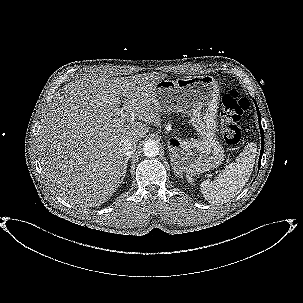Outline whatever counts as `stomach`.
<instances>
[{
	"label": "stomach",
	"instance_id": "0dacf381",
	"mask_svg": "<svg viewBox=\"0 0 303 303\" xmlns=\"http://www.w3.org/2000/svg\"><path fill=\"white\" fill-rule=\"evenodd\" d=\"M155 98L163 112L176 110L190 115L198 139L179 140L170 146L176 174H200L217 168L224 160V149L216 138L219 87L212 76L161 79L155 85Z\"/></svg>",
	"mask_w": 303,
	"mask_h": 303
}]
</instances>
